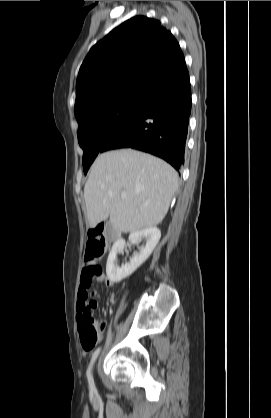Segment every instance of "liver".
Segmentation results:
<instances>
[{"label":"liver","mask_w":271,"mask_h":418,"mask_svg":"<svg viewBox=\"0 0 271 418\" xmlns=\"http://www.w3.org/2000/svg\"><path fill=\"white\" fill-rule=\"evenodd\" d=\"M177 188L178 173L164 160L133 149L105 152L93 162L84 187L88 224L94 228L109 217L116 232L154 227Z\"/></svg>","instance_id":"6515ba94"}]
</instances>
